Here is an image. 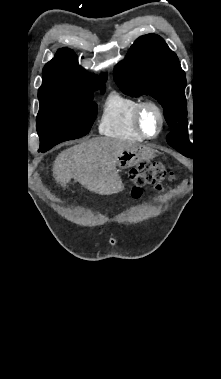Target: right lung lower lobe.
<instances>
[{
    "label": "right lung lower lobe",
    "instance_id": "obj_1",
    "mask_svg": "<svg viewBox=\"0 0 221 379\" xmlns=\"http://www.w3.org/2000/svg\"><path fill=\"white\" fill-rule=\"evenodd\" d=\"M47 150H48L47 148H45V149H39V151H41V152H45Z\"/></svg>",
    "mask_w": 221,
    "mask_h": 379
}]
</instances>
